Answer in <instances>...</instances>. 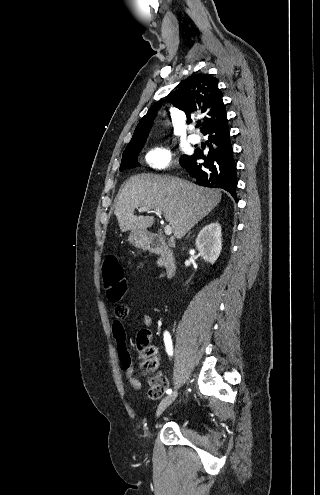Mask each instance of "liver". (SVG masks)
<instances>
[{
    "label": "liver",
    "mask_w": 320,
    "mask_h": 495,
    "mask_svg": "<svg viewBox=\"0 0 320 495\" xmlns=\"http://www.w3.org/2000/svg\"><path fill=\"white\" fill-rule=\"evenodd\" d=\"M219 190L198 187L175 177L140 174L129 178L118 196L114 214L120 231H145L153 216H135L141 207L159 209L171 225L174 237L183 238L221 201Z\"/></svg>",
    "instance_id": "liver-1"
}]
</instances>
